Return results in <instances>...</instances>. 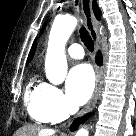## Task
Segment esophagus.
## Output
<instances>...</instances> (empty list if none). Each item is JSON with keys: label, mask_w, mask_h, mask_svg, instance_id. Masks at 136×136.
Here are the masks:
<instances>
[{"label": "esophagus", "mask_w": 136, "mask_h": 136, "mask_svg": "<svg viewBox=\"0 0 136 136\" xmlns=\"http://www.w3.org/2000/svg\"><path fill=\"white\" fill-rule=\"evenodd\" d=\"M81 7H82V13L85 19V26L94 42L96 53H97L100 48V41H99V35L97 32V29H96L97 21L95 19L93 9H92V0H81ZM101 76H102V71L100 67L97 66L96 67V86H95L94 93L91 99L89 100V102L87 103V105L84 107V109H82L78 113L77 117H81L84 114L88 113L95 106L97 98H98V94L100 91Z\"/></svg>", "instance_id": "obj_1"}]
</instances>
